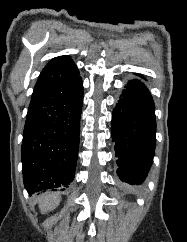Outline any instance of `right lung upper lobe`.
I'll return each instance as SVG.
<instances>
[{"label": "right lung upper lobe", "mask_w": 187, "mask_h": 242, "mask_svg": "<svg viewBox=\"0 0 187 242\" xmlns=\"http://www.w3.org/2000/svg\"><path fill=\"white\" fill-rule=\"evenodd\" d=\"M78 73L77 66L69 56L55 57L42 70L34 90L65 82Z\"/></svg>", "instance_id": "right-lung-upper-lobe-1"}]
</instances>
